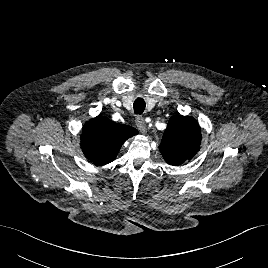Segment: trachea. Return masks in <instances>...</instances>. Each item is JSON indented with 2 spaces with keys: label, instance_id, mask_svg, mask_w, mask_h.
<instances>
[{
  "label": "trachea",
  "instance_id": "3493384b",
  "mask_svg": "<svg viewBox=\"0 0 268 268\" xmlns=\"http://www.w3.org/2000/svg\"><path fill=\"white\" fill-rule=\"evenodd\" d=\"M133 107H134V113L140 115L144 112L145 107H146V103H145L144 99L137 98L134 101Z\"/></svg>",
  "mask_w": 268,
  "mask_h": 268
}]
</instances>
